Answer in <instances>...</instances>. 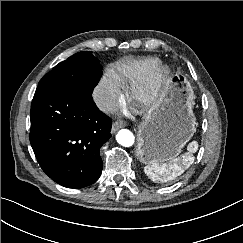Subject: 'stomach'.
Returning a JSON list of instances; mask_svg holds the SVG:
<instances>
[{"mask_svg": "<svg viewBox=\"0 0 243 243\" xmlns=\"http://www.w3.org/2000/svg\"><path fill=\"white\" fill-rule=\"evenodd\" d=\"M194 92L181 75L170 82L160 106L138 128L136 155L144 164L173 160L196 131Z\"/></svg>", "mask_w": 243, "mask_h": 243, "instance_id": "obj_1", "label": "stomach"}]
</instances>
